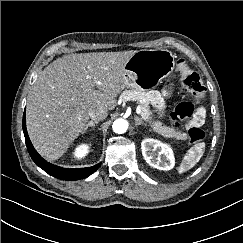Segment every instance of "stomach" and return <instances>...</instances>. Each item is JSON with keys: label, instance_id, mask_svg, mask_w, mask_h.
Masks as SVG:
<instances>
[{"label": "stomach", "instance_id": "1", "mask_svg": "<svg viewBox=\"0 0 243 243\" xmlns=\"http://www.w3.org/2000/svg\"><path fill=\"white\" fill-rule=\"evenodd\" d=\"M173 69L174 56L168 50L136 51L125 64L123 85L132 89L153 88L170 75Z\"/></svg>", "mask_w": 243, "mask_h": 243}]
</instances>
